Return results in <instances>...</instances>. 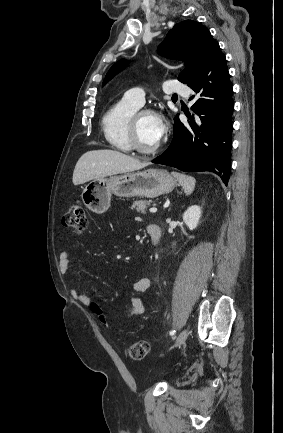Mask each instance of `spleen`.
I'll return each mask as SVG.
<instances>
[{
    "instance_id": "spleen-1",
    "label": "spleen",
    "mask_w": 283,
    "mask_h": 433,
    "mask_svg": "<svg viewBox=\"0 0 283 433\" xmlns=\"http://www.w3.org/2000/svg\"><path fill=\"white\" fill-rule=\"evenodd\" d=\"M175 178H177L179 184L183 186L186 194H191L192 190H194L195 186V178L194 176H188V174H180V172H171Z\"/></svg>"
}]
</instances>
